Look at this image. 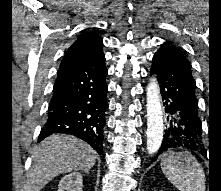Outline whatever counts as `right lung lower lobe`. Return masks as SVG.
I'll use <instances>...</instances> for the list:
<instances>
[{
	"mask_svg": "<svg viewBox=\"0 0 221 191\" xmlns=\"http://www.w3.org/2000/svg\"><path fill=\"white\" fill-rule=\"evenodd\" d=\"M105 57L59 69L38 142L54 133L77 136L102 154L106 99Z\"/></svg>",
	"mask_w": 221,
	"mask_h": 191,
	"instance_id": "98d812e1",
	"label": "right lung lower lobe"
}]
</instances>
